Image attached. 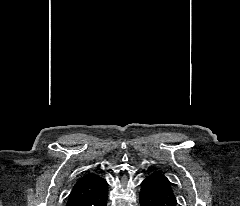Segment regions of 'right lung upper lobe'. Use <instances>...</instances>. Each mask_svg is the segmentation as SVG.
I'll return each instance as SVG.
<instances>
[{
	"label": "right lung upper lobe",
	"instance_id": "1",
	"mask_svg": "<svg viewBox=\"0 0 240 206\" xmlns=\"http://www.w3.org/2000/svg\"><path fill=\"white\" fill-rule=\"evenodd\" d=\"M107 182L94 173L81 177L75 184L66 206H73L77 202L96 194Z\"/></svg>",
	"mask_w": 240,
	"mask_h": 206
}]
</instances>
